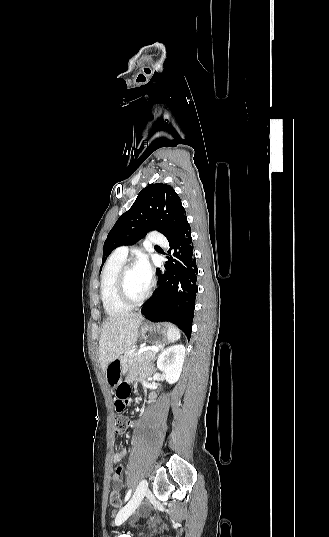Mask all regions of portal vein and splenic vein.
Returning a JSON list of instances; mask_svg holds the SVG:
<instances>
[{
	"label": "portal vein and splenic vein",
	"instance_id": "1",
	"mask_svg": "<svg viewBox=\"0 0 329 537\" xmlns=\"http://www.w3.org/2000/svg\"><path fill=\"white\" fill-rule=\"evenodd\" d=\"M148 350L158 351V348H157V347H154V346H152V347H144V348H141V349H139V350L135 353V356H138V355H140V354H142L143 352L148 351Z\"/></svg>",
	"mask_w": 329,
	"mask_h": 537
}]
</instances>
